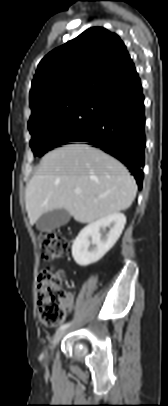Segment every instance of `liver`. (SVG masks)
Returning a JSON list of instances; mask_svg holds the SVG:
<instances>
[{
	"label": "liver",
	"mask_w": 168,
	"mask_h": 406,
	"mask_svg": "<svg viewBox=\"0 0 168 406\" xmlns=\"http://www.w3.org/2000/svg\"><path fill=\"white\" fill-rule=\"evenodd\" d=\"M136 192L134 178L115 158L86 144H69L42 158L26 186L25 205L31 225L55 209L91 223L128 209Z\"/></svg>",
	"instance_id": "liver-1"
}]
</instances>
